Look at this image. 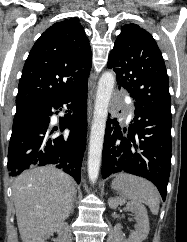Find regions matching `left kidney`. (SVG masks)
I'll return each instance as SVG.
<instances>
[{"label": "left kidney", "instance_id": "1", "mask_svg": "<svg viewBox=\"0 0 187 242\" xmlns=\"http://www.w3.org/2000/svg\"><path fill=\"white\" fill-rule=\"evenodd\" d=\"M108 203L112 209H116L118 205L126 203L127 210L134 213L137 222L135 231L127 240L124 239V235L121 232V225H116L114 227V232L117 242H142L146 239L150 228L147 211L143 204L135 201L126 202V200L121 197L110 198Z\"/></svg>", "mask_w": 187, "mask_h": 242}]
</instances>
